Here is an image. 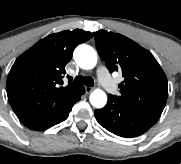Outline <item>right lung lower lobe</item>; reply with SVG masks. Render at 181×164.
<instances>
[{"label":"right lung lower lobe","instance_id":"1","mask_svg":"<svg viewBox=\"0 0 181 164\" xmlns=\"http://www.w3.org/2000/svg\"><path fill=\"white\" fill-rule=\"evenodd\" d=\"M85 93V89L82 87L67 103L57 107L46 113H29L18 114L19 120L28 128L36 131H42L54 126L61 121H64L69 112L72 110V106L80 100L81 95Z\"/></svg>","mask_w":181,"mask_h":164}]
</instances>
